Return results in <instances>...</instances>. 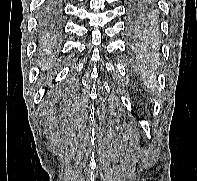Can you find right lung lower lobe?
Returning a JSON list of instances; mask_svg holds the SVG:
<instances>
[{
  "mask_svg": "<svg viewBox=\"0 0 197 181\" xmlns=\"http://www.w3.org/2000/svg\"><path fill=\"white\" fill-rule=\"evenodd\" d=\"M50 12L54 15V16H58L59 15V7H58V0H51L50 1Z\"/></svg>",
  "mask_w": 197,
  "mask_h": 181,
  "instance_id": "98d812e1",
  "label": "right lung lower lobe"
}]
</instances>
